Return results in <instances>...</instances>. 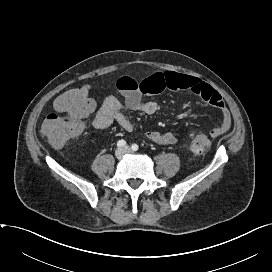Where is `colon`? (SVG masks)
Segmentation results:
<instances>
[{
	"label": "colon",
	"instance_id": "obj_1",
	"mask_svg": "<svg viewBox=\"0 0 272 272\" xmlns=\"http://www.w3.org/2000/svg\"><path fill=\"white\" fill-rule=\"evenodd\" d=\"M54 108L56 112L46 117L42 133L53 146L61 147L81 132L83 120L93 110L94 101L89 96L87 86H76L59 95ZM209 145L210 140L206 135H197L191 149L201 153Z\"/></svg>",
	"mask_w": 272,
	"mask_h": 272
}]
</instances>
